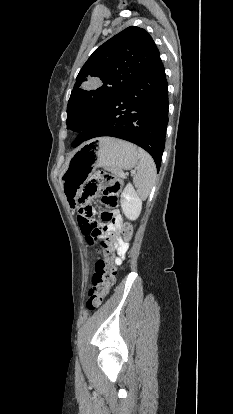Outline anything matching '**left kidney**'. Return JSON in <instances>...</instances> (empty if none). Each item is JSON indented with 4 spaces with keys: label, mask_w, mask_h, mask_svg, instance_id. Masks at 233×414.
Returning <instances> with one entry per match:
<instances>
[{
    "label": "left kidney",
    "mask_w": 233,
    "mask_h": 414,
    "mask_svg": "<svg viewBox=\"0 0 233 414\" xmlns=\"http://www.w3.org/2000/svg\"><path fill=\"white\" fill-rule=\"evenodd\" d=\"M121 208L129 220H136L141 213L142 199L130 183L127 184L121 194Z\"/></svg>",
    "instance_id": "5707ae66"
}]
</instances>
